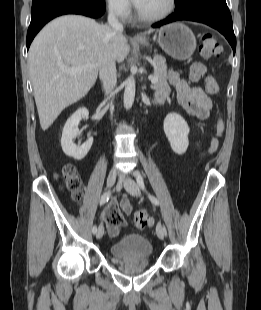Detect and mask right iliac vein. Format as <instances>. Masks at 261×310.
I'll list each match as a JSON object with an SVG mask.
<instances>
[{"label": "right iliac vein", "mask_w": 261, "mask_h": 310, "mask_svg": "<svg viewBox=\"0 0 261 310\" xmlns=\"http://www.w3.org/2000/svg\"><path fill=\"white\" fill-rule=\"evenodd\" d=\"M117 175H118V173L116 170H112L109 173L108 178H107V188H111L114 185L116 178H117ZM103 234H104V227L102 225H100L98 227L96 237L98 239H100V238H102Z\"/></svg>", "instance_id": "63e3f726"}]
</instances>
